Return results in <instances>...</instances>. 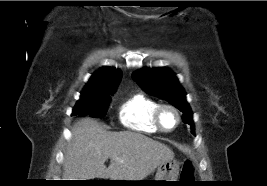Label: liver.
I'll list each match as a JSON object with an SVG mask.
<instances>
[{
  "instance_id": "6515ba94",
  "label": "liver",
  "mask_w": 267,
  "mask_h": 186,
  "mask_svg": "<svg viewBox=\"0 0 267 186\" xmlns=\"http://www.w3.org/2000/svg\"><path fill=\"white\" fill-rule=\"evenodd\" d=\"M110 159L107 168L104 163ZM174 158L166 145L143 134L108 132L95 120L82 118L71 129V142L64 155V180L140 181L159 165Z\"/></svg>"
}]
</instances>
